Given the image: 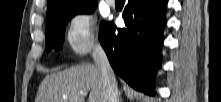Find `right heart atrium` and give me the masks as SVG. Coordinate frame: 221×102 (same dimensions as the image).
<instances>
[{"label": "right heart atrium", "instance_id": "d8ad5b80", "mask_svg": "<svg viewBox=\"0 0 221 102\" xmlns=\"http://www.w3.org/2000/svg\"><path fill=\"white\" fill-rule=\"evenodd\" d=\"M66 40L74 55L87 54L99 40L95 16L87 10L73 13L67 23Z\"/></svg>", "mask_w": 221, "mask_h": 102}]
</instances>
